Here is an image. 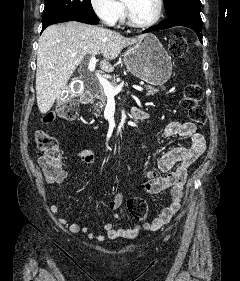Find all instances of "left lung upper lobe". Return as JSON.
Listing matches in <instances>:
<instances>
[{
  "label": "left lung upper lobe",
  "instance_id": "5c2ea615",
  "mask_svg": "<svg viewBox=\"0 0 240 281\" xmlns=\"http://www.w3.org/2000/svg\"><path fill=\"white\" fill-rule=\"evenodd\" d=\"M165 12L169 16L183 7H195L201 9L200 0H164Z\"/></svg>",
  "mask_w": 240,
  "mask_h": 281
}]
</instances>
